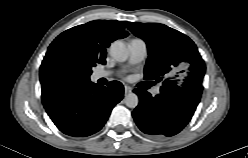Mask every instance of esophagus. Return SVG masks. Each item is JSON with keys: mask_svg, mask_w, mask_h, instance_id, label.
Here are the masks:
<instances>
[{"mask_svg": "<svg viewBox=\"0 0 248 158\" xmlns=\"http://www.w3.org/2000/svg\"><path fill=\"white\" fill-rule=\"evenodd\" d=\"M131 91H132V88L130 86H128V85H125L124 86L125 95L128 94V93H130Z\"/></svg>", "mask_w": 248, "mask_h": 158, "instance_id": "esophagus-1", "label": "esophagus"}]
</instances>
